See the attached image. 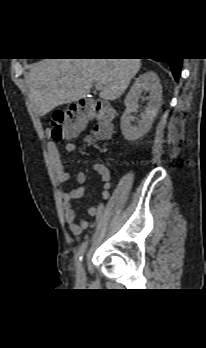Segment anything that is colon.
<instances>
[{"mask_svg":"<svg viewBox=\"0 0 206 348\" xmlns=\"http://www.w3.org/2000/svg\"><path fill=\"white\" fill-rule=\"evenodd\" d=\"M114 114V110L106 103L81 100L54 111L50 126L51 138L54 141L72 138L89 122H93V134L100 139H107L113 131Z\"/></svg>","mask_w":206,"mask_h":348,"instance_id":"obj_1","label":"colon"}]
</instances>
